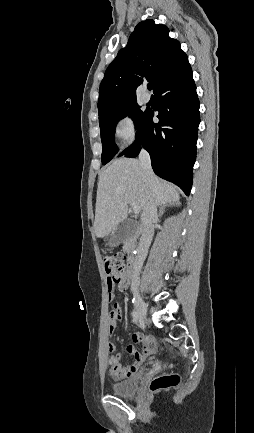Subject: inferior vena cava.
<instances>
[{
	"instance_id": "inferior-vena-cava-1",
	"label": "inferior vena cava",
	"mask_w": 254,
	"mask_h": 433,
	"mask_svg": "<svg viewBox=\"0 0 254 433\" xmlns=\"http://www.w3.org/2000/svg\"><path fill=\"white\" fill-rule=\"evenodd\" d=\"M140 164L147 176V179L150 181L153 176V171L151 168V160L149 153L142 149L139 154ZM158 219L157 215V204L153 198L147 203L144 211L141 214V222H142V233L139 241V245L137 247V255L135 257V261L133 264V275H132V284L131 288L135 290L139 285V273L143 266V263L146 259L149 246L151 244V240L154 233L153 223Z\"/></svg>"
}]
</instances>
